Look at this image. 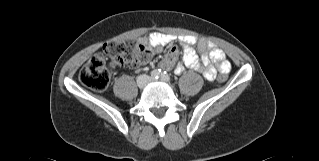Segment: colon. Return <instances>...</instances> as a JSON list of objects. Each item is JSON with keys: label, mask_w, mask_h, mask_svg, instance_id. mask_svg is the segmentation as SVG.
I'll use <instances>...</instances> for the list:
<instances>
[{"label": "colon", "mask_w": 319, "mask_h": 161, "mask_svg": "<svg viewBox=\"0 0 319 161\" xmlns=\"http://www.w3.org/2000/svg\"><path fill=\"white\" fill-rule=\"evenodd\" d=\"M107 58L117 65L139 67L150 62L151 53L145 46L134 41L107 42L102 52L94 54L80 69L79 80L84 86L95 91H103L108 87L110 67ZM226 80L225 73L219 75L220 83Z\"/></svg>", "instance_id": "1"}]
</instances>
